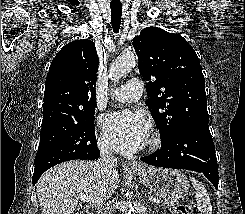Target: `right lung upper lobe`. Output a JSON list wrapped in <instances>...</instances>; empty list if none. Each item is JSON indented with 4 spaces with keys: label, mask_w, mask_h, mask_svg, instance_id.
<instances>
[{
    "label": "right lung upper lobe",
    "mask_w": 245,
    "mask_h": 214,
    "mask_svg": "<svg viewBox=\"0 0 245 214\" xmlns=\"http://www.w3.org/2000/svg\"><path fill=\"white\" fill-rule=\"evenodd\" d=\"M98 54L89 39L66 44L52 60L45 83L41 133L95 111Z\"/></svg>",
    "instance_id": "cb5924a9"
}]
</instances>
